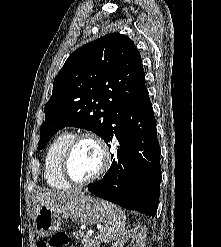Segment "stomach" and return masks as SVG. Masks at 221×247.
Returning a JSON list of instances; mask_svg holds the SVG:
<instances>
[{
  "label": "stomach",
  "instance_id": "1",
  "mask_svg": "<svg viewBox=\"0 0 221 247\" xmlns=\"http://www.w3.org/2000/svg\"><path fill=\"white\" fill-rule=\"evenodd\" d=\"M106 202L83 193L55 206L42 205L35 217L36 232L47 236L70 218L80 224L93 225L106 217Z\"/></svg>",
  "mask_w": 221,
  "mask_h": 247
}]
</instances>
